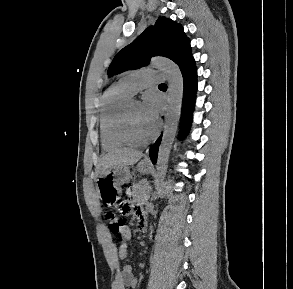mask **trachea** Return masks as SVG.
<instances>
[{
    "mask_svg": "<svg viewBox=\"0 0 293 289\" xmlns=\"http://www.w3.org/2000/svg\"><path fill=\"white\" fill-rule=\"evenodd\" d=\"M160 86H166V84L162 83V84H160Z\"/></svg>",
    "mask_w": 293,
    "mask_h": 289,
    "instance_id": "3493384b",
    "label": "trachea"
}]
</instances>
